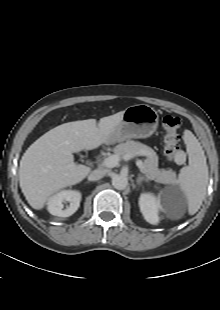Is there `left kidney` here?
<instances>
[{"label":"left kidney","instance_id":"5707ae66","mask_svg":"<svg viewBox=\"0 0 220 310\" xmlns=\"http://www.w3.org/2000/svg\"><path fill=\"white\" fill-rule=\"evenodd\" d=\"M139 207L145 220L150 224H157L159 221V211L166 210V205L161 203L160 198H156L150 193H143L140 195Z\"/></svg>","mask_w":220,"mask_h":310}]
</instances>
